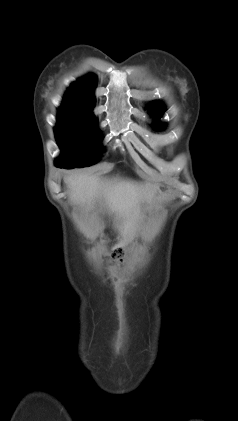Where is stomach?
Listing matches in <instances>:
<instances>
[{"label": "stomach", "mask_w": 238, "mask_h": 421, "mask_svg": "<svg viewBox=\"0 0 238 421\" xmlns=\"http://www.w3.org/2000/svg\"><path fill=\"white\" fill-rule=\"evenodd\" d=\"M161 189H163V188H161ZM161 192V190L159 189V193ZM155 197H156V195H155Z\"/></svg>", "instance_id": "obj_1"}]
</instances>
